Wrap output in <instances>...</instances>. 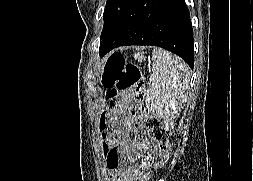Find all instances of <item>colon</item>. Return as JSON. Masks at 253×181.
I'll return each instance as SVG.
<instances>
[{"label":"colon","mask_w":253,"mask_h":181,"mask_svg":"<svg viewBox=\"0 0 253 181\" xmlns=\"http://www.w3.org/2000/svg\"><path fill=\"white\" fill-rule=\"evenodd\" d=\"M101 83L107 89V98L114 91L131 93L138 109L131 111L136 119L137 126H144L150 134V138L156 143L161 161H165L171 152L169 131L161 126L159 120L140 110L146 99V88L142 79L140 68L134 63H126L120 55H112L106 64L101 77Z\"/></svg>","instance_id":"1"}]
</instances>
